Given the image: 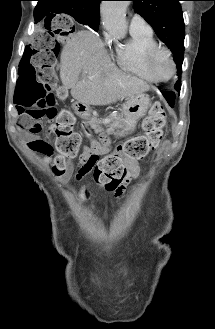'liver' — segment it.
<instances>
[{"instance_id": "liver-1", "label": "liver", "mask_w": 215, "mask_h": 329, "mask_svg": "<svg viewBox=\"0 0 215 329\" xmlns=\"http://www.w3.org/2000/svg\"><path fill=\"white\" fill-rule=\"evenodd\" d=\"M60 78L72 97L86 105H108L150 89L146 82L121 72L100 38L85 30L67 40L61 53Z\"/></svg>"}]
</instances>
